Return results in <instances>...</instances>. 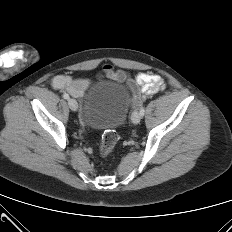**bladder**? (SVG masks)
<instances>
[{
    "mask_svg": "<svg viewBox=\"0 0 232 232\" xmlns=\"http://www.w3.org/2000/svg\"><path fill=\"white\" fill-rule=\"evenodd\" d=\"M129 108V92L121 83L103 81L87 92L84 114L93 128L118 127L124 123Z\"/></svg>",
    "mask_w": 232,
    "mask_h": 232,
    "instance_id": "bladder-1",
    "label": "bladder"
}]
</instances>
